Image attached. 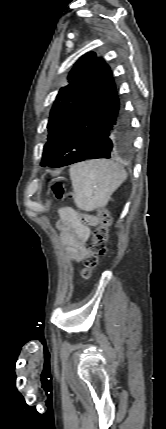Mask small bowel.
Here are the masks:
<instances>
[{
  "instance_id": "small-bowel-1",
  "label": "small bowel",
  "mask_w": 166,
  "mask_h": 429,
  "mask_svg": "<svg viewBox=\"0 0 166 429\" xmlns=\"http://www.w3.org/2000/svg\"><path fill=\"white\" fill-rule=\"evenodd\" d=\"M60 219L57 227L60 230V239L67 246V254L74 261H82L88 253L87 241L90 237V226L98 224L94 215H82L71 207L59 210Z\"/></svg>"
}]
</instances>
